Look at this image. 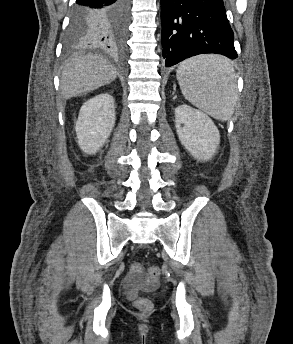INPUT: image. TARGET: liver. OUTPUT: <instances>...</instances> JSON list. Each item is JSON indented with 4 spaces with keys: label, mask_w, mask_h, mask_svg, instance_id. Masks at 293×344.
Wrapping results in <instances>:
<instances>
[{
    "label": "liver",
    "mask_w": 293,
    "mask_h": 344,
    "mask_svg": "<svg viewBox=\"0 0 293 344\" xmlns=\"http://www.w3.org/2000/svg\"><path fill=\"white\" fill-rule=\"evenodd\" d=\"M115 67L101 56L78 55L67 61L61 76V94L65 99L88 93L113 82Z\"/></svg>",
    "instance_id": "liver-1"
}]
</instances>
